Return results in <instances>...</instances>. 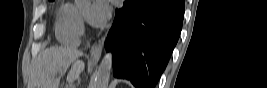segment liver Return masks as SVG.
<instances>
[{
	"label": "liver",
	"instance_id": "1",
	"mask_svg": "<svg viewBox=\"0 0 267 88\" xmlns=\"http://www.w3.org/2000/svg\"><path fill=\"white\" fill-rule=\"evenodd\" d=\"M83 53L70 47H50L42 51L34 61L28 88H58L60 77L70 65L67 80L73 82L85 68L79 59Z\"/></svg>",
	"mask_w": 267,
	"mask_h": 88
}]
</instances>
